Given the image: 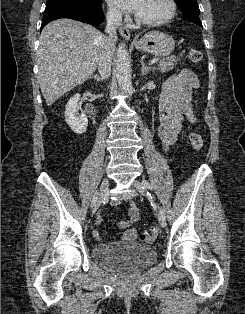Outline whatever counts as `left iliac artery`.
<instances>
[{
	"mask_svg": "<svg viewBox=\"0 0 245 314\" xmlns=\"http://www.w3.org/2000/svg\"><path fill=\"white\" fill-rule=\"evenodd\" d=\"M142 186L143 188H146V189H149V190H153V186L147 181V180H142ZM151 196V195H150ZM152 199V197H151ZM153 201V200H152ZM154 206L156 207V204L154 203ZM159 211L160 213L162 214V216L164 217V219L166 218V215H165V211L162 207H159Z\"/></svg>",
	"mask_w": 245,
	"mask_h": 314,
	"instance_id": "44dca946",
	"label": "left iliac artery"
}]
</instances>
